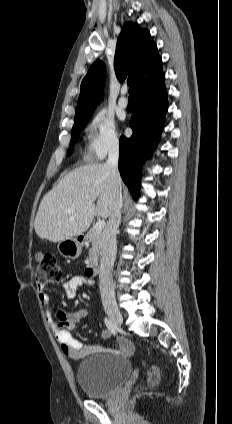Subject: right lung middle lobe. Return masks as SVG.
<instances>
[{
	"instance_id": "1",
	"label": "right lung middle lobe",
	"mask_w": 232,
	"mask_h": 424,
	"mask_svg": "<svg viewBox=\"0 0 232 424\" xmlns=\"http://www.w3.org/2000/svg\"><path fill=\"white\" fill-rule=\"evenodd\" d=\"M90 117L91 116L75 120L73 129H72V139H71V143L67 152V156H69L72 153L74 143L78 139L80 131L86 126Z\"/></svg>"
}]
</instances>
